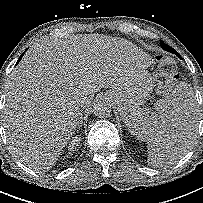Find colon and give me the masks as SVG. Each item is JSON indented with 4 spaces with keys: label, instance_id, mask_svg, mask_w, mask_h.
Segmentation results:
<instances>
[{
    "label": "colon",
    "instance_id": "colon-1",
    "mask_svg": "<svg viewBox=\"0 0 203 203\" xmlns=\"http://www.w3.org/2000/svg\"><path fill=\"white\" fill-rule=\"evenodd\" d=\"M157 60V90L159 93L165 94L169 92L172 86L177 82L179 74L172 59L163 55H158Z\"/></svg>",
    "mask_w": 203,
    "mask_h": 203
}]
</instances>
